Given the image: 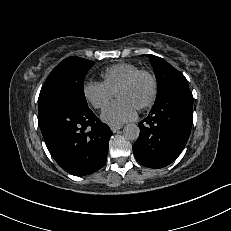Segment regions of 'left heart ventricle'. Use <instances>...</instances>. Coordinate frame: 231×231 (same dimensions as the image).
Here are the masks:
<instances>
[{
    "label": "left heart ventricle",
    "instance_id": "1",
    "mask_svg": "<svg viewBox=\"0 0 231 231\" xmlns=\"http://www.w3.org/2000/svg\"><path fill=\"white\" fill-rule=\"evenodd\" d=\"M151 84L148 78L141 77L133 85L119 89L116 92L118 99H124L138 108L150 95Z\"/></svg>",
    "mask_w": 231,
    "mask_h": 231
}]
</instances>
